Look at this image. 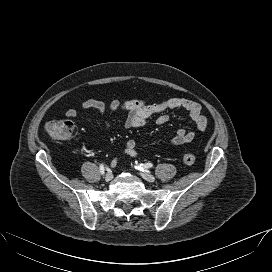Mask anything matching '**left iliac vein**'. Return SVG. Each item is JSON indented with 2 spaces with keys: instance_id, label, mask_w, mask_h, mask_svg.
Instances as JSON below:
<instances>
[{
  "instance_id": "4c4485c4",
  "label": "left iliac vein",
  "mask_w": 272,
  "mask_h": 272,
  "mask_svg": "<svg viewBox=\"0 0 272 272\" xmlns=\"http://www.w3.org/2000/svg\"><path fill=\"white\" fill-rule=\"evenodd\" d=\"M140 175H141V177L143 179H145L148 182H154L155 181V177L153 175L149 174V173L142 172V173H140Z\"/></svg>"
}]
</instances>
